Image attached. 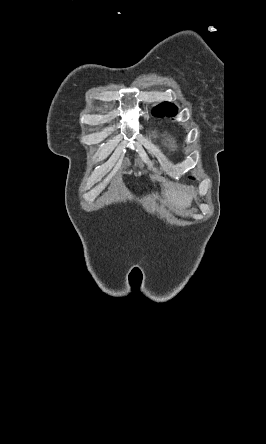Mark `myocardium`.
<instances>
[{
  "mask_svg": "<svg viewBox=\"0 0 266 444\" xmlns=\"http://www.w3.org/2000/svg\"><path fill=\"white\" fill-rule=\"evenodd\" d=\"M170 146H171V148L176 149L177 144H176L175 141H171V142H170Z\"/></svg>",
  "mask_w": 266,
  "mask_h": 444,
  "instance_id": "1",
  "label": "myocardium"
}]
</instances>
